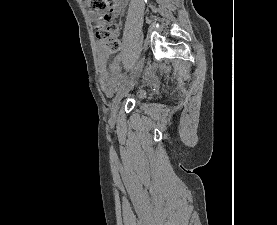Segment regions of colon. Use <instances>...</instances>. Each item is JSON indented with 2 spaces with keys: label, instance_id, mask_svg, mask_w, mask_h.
Listing matches in <instances>:
<instances>
[{
  "label": "colon",
  "instance_id": "obj_1",
  "mask_svg": "<svg viewBox=\"0 0 277 225\" xmlns=\"http://www.w3.org/2000/svg\"><path fill=\"white\" fill-rule=\"evenodd\" d=\"M119 0H84L85 5L97 12L101 18L108 22L106 25L98 27L97 35L103 41L104 51L107 54L116 53L120 49V41L118 39V27L110 23L109 9L112 3Z\"/></svg>",
  "mask_w": 277,
  "mask_h": 225
}]
</instances>
